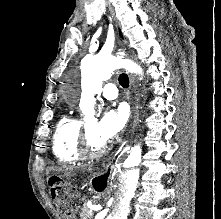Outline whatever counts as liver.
Segmentation results:
<instances>
[{"mask_svg": "<svg viewBox=\"0 0 221 219\" xmlns=\"http://www.w3.org/2000/svg\"><path fill=\"white\" fill-rule=\"evenodd\" d=\"M66 170L68 169H72V167H65ZM48 171H56V172H63L64 171V168H61V167H51L48 169Z\"/></svg>", "mask_w": 221, "mask_h": 219, "instance_id": "1", "label": "liver"}]
</instances>
